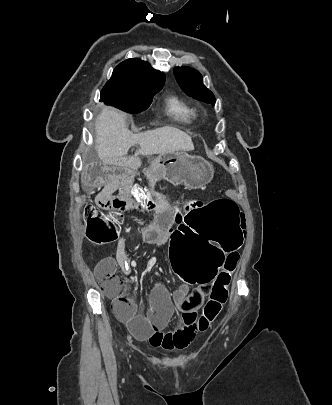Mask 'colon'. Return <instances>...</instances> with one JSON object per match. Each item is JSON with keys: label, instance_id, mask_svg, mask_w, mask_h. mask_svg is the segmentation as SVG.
I'll return each instance as SVG.
<instances>
[{"label": "colon", "instance_id": "obj_1", "mask_svg": "<svg viewBox=\"0 0 332 405\" xmlns=\"http://www.w3.org/2000/svg\"><path fill=\"white\" fill-rule=\"evenodd\" d=\"M141 204L140 212L160 213L159 204L153 202L152 184H130ZM162 195H165L162 193ZM170 199V198H169ZM188 220H182L176 231L166 241L168 275H177L178 281H186L187 287H208L213 281L210 298L198 319V327L206 330L221 313L228 299L232 273L236 269L243 235L240 207L230 197H213L212 202L182 204L169 200L168 208H175V219L189 208ZM86 235L94 243L112 242L119 236L121 214L114 211L107 215L93 205L83 209ZM224 257H227L224 259ZM221 268V269H220ZM103 290L114 303V311L122 318L134 316L136 301L128 292L125 282L114 272L103 278Z\"/></svg>", "mask_w": 332, "mask_h": 405}]
</instances>
